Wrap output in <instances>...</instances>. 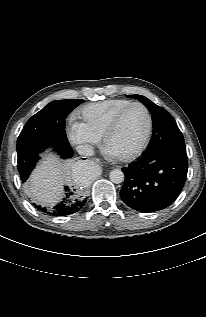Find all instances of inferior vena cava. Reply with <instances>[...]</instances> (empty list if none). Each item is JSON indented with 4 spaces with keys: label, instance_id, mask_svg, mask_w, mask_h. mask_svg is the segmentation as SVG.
I'll list each match as a JSON object with an SVG mask.
<instances>
[{
    "label": "inferior vena cava",
    "instance_id": "inferior-vena-cava-1",
    "mask_svg": "<svg viewBox=\"0 0 206 317\" xmlns=\"http://www.w3.org/2000/svg\"><path fill=\"white\" fill-rule=\"evenodd\" d=\"M76 151L82 156L94 155V151L89 145H79L76 147Z\"/></svg>",
    "mask_w": 206,
    "mask_h": 317
}]
</instances>
